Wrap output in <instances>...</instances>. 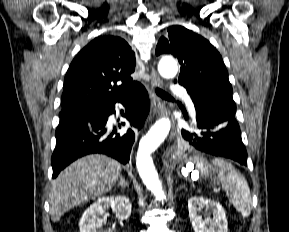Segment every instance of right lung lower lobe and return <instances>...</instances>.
<instances>
[{
    "mask_svg": "<svg viewBox=\"0 0 289 232\" xmlns=\"http://www.w3.org/2000/svg\"><path fill=\"white\" fill-rule=\"evenodd\" d=\"M125 117L138 130L143 126L149 111V98L143 86H139L127 99ZM115 104L90 108L80 115L61 118L56 130V147L51 163L53 178L74 160L90 153H103L123 164L130 159L135 140L132 130L116 133L107 127L108 117L115 113Z\"/></svg>",
    "mask_w": 289,
    "mask_h": 232,
    "instance_id": "obj_1",
    "label": "right lung lower lobe"
}]
</instances>
